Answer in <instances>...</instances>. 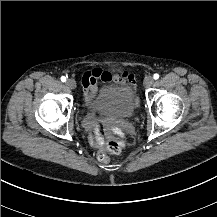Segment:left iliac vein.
<instances>
[{"instance_id":"1","label":"left iliac vein","mask_w":217,"mask_h":217,"mask_svg":"<svg viewBox=\"0 0 217 217\" xmlns=\"http://www.w3.org/2000/svg\"><path fill=\"white\" fill-rule=\"evenodd\" d=\"M143 84L145 87H151L154 84L153 77L152 76L145 77Z\"/></svg>"}]
</instances>
